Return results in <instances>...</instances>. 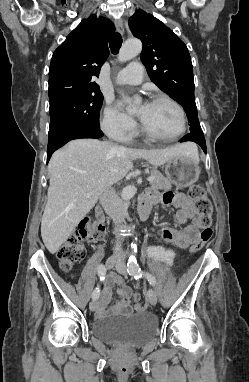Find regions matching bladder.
I'll return each mask as SVG.
<instances>
[{"label": "bladder", "instance_id": "bladder-1", "mask_svg": "<svg viewBox=\"0 0 249 382\" xmlns=\"http://www.w3.org/2000/svg\"><path fill=\"white\" fill-rule=\"evenodd\" d=\"M92 329L93 334L106 343L136 348L156 336L158 321L147 313L112 315L96 319Z\"/></svg>", "mask_w": 249, "mask_h": 382}]
</instances>
